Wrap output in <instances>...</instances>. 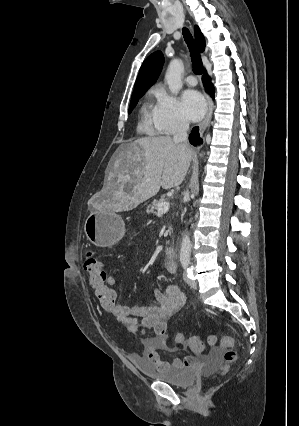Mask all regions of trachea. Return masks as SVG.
Masks as SVG:
<instances>
[{"label": "trachea", "mask_w": 299, "mask_h": 426, "mask_svg": "<svg viewBox=\"0 0 299 426\" xmlns=\"http://www.w3.org/2000/svg\"><path fill=\"white\" fill-rule=\"evenodd\" d=\"M183 36L190 50V55H191L194 70L196 74H202L203 72L202 60L199 55V51L196 47V44L192 38V35L190 34L188 29L183 28Z\"/></svg>", "instance_id": "3493384b"}]
</instances>
